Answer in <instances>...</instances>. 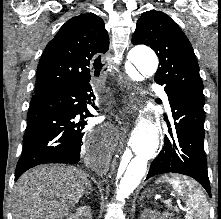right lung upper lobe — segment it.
<instances>
[{
    "label": "right lung upper lobe",
    "mask_w": 221,
    "mask_h": 219,
    "mask_svg": "<svg viewBox=\"0 0 221 219\" xmlns=\"http://www.w3.org/2000/svg\"><path fill=\"white\" fill-rule=\"evenodd\" d=\"M109 48L103 20L93 13L68 20L47 44L39 61L35 94L89 83Z\"/></svg>",
    "instance_id": "cb5924a9"
}]
</instances>
